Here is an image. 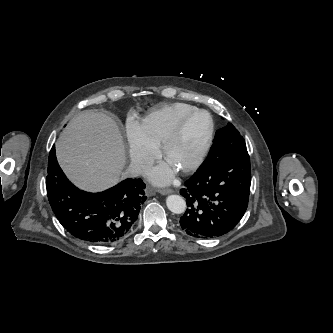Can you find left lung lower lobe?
<instances>
[{"label": "left lung lower lobe", "instance_id": "1", "mask_svg": "<svg viewBox=\"0 0 333 333\" xmlns=\"http://www.w3.org/2000/svg\"><path fill=\"white\" fill-rule=\"evenodd\" d=\"M237 130L223 127L213 144L231 137ZM251 185L250 157L247 150L231 158L209 157L185 183L180 194L187 210L180 227L190 236L214 238L231 231L243 217Z\"/></svg>", "mask_w": 333, "mask_h": 333}]
</instances>
